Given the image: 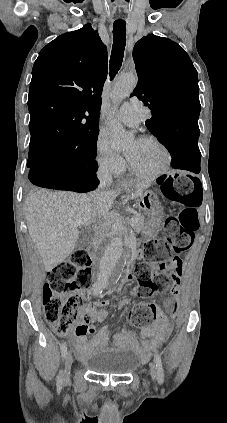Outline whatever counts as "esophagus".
<instances>
[{
  "label": "esophagus",
  "mask_w": 227,
  "mask_h": 423,
  "mask_svg": "<svg viewBox=\"0 0 227 423\" xmlns=\"http://www.w3.org/2000/svg\"><path fill=\"white\" fill-rule=\"evenodd\" d=\"M125 180H123L122 178H118L117 180H116V183L117 184H121V183H123Z\"/></svg>",
  "instance_id": "34e87169"
}]
</instances>
